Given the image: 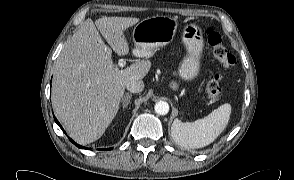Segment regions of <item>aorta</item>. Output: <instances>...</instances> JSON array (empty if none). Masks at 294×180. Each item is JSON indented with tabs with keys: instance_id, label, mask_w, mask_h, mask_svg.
Segmentation results:
<instances>
[{
	"instance_id": "762f6f07",
	"label": "aorta",
	"mask_w": 294,
	"mask_h": 180,
	"mask_svg": "<svg viewBox=\"0 0 294 180\" xmlns=\"http://www.w3.org/2000/svg\"><path fill=\"white\" fill-rule=\"evenodd\" d=\"M155 112L159 115H166L169 112V104L165 101H159L154 106Z\"/></svg>"
}]
</instances>
